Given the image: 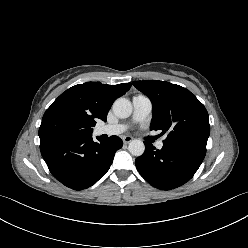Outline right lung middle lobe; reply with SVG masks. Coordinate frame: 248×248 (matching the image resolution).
<instances>
[{
  "label": "right lung middle lobe",
  "instance_id": "obj_1",
  "mask_svg": "<svg viewBox=\"0 0 248 248\" xmlns=\"http://www.w3.org/2000/svg\"><path fill=\"white\" fill-rule=\"evenodd\" d=\"M93 129L81 119L64 113L53 114L42 118L39 137L47 136H85L91 135Z\"/></svg>",
  "mask_w": 248,
  "mask_h": 248
}]
</instances>
